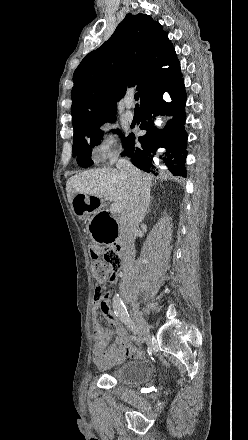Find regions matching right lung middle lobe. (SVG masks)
I'll return each mask as SVG.
<instances>
[{
	"label": "right lung middle lobe",
	"instance_id": "right-lung-middle-lobe-1",
	"mask_svg": "<svg viewBox=\"0 0 248 440\" xmlns=\"http://www.w3.org/2000/svg\"><path fill=\"white\" fill-rule=\"evenodd\" d=\"M117 133L122 139V147L125 148L128 143V137H124L118 130ZM103 132L99 129L86 131L73 136L74 144L72 146L73 157H77V162L81 167H89L93 164L91 152L94 145H97L102 139Z\"/></svg>",
	"mask_w": 248,
	"mask_h": 440
}]
</instances>
